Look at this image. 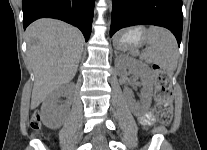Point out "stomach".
I'll use <instances>...</instances> for the list:
<instances>
[{"label":"stomach","mask_w":207,"mask_h":150,"mask_svg":"<svg viewBox=\"0 0 207 150\" xmlns=\"http://www.w3.org/2000/svg\"><path fill=\"white\" fill-rule=\"evenodd\" d=\"M144 38L145 34L142 28H131L117 34L114 44L116 49L125 51L140 45Z\"/></svg>","instance_id":"stomach-1"}]
</instances>
